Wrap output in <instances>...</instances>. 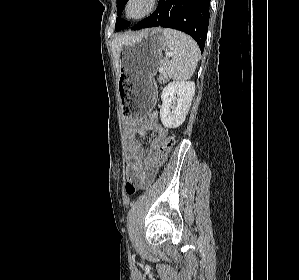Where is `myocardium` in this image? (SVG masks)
<instances>
[{
    "label": "myocardium",
    "instance_id": "f54148a6",
    "mask_svg": "<svg viewBox=\"0 0 299 280\" xmlns=\"http://www.w3.org/2000/svg\"><path fill=\"white\" fill-rule=\"evenodd\" d=\"M135 1L136 0H127L125 3V7H124L125 17L132 21H140V20L147 18L155 11L157 4H158V0H142V2L145 5L142 12H140L137 15H131L129 12V9H130L131 4L134 3Z\"/></svg>",
    "mask_w": 299,
    "mask_h": 280
}]
</instances>
